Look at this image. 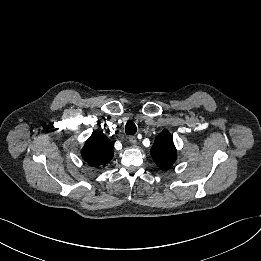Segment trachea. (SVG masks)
I'll use <instances>...</instances> for the list:
<instances>
[{"label":"trachea","mask_w":261,"mask_h":261,"mask_svg":"<svg viewBox=\"0 0 261 261\" xmlns=\"http://www.w3.org/2000/svg\"><path fill=\"white\" fill-rule=\"evenodd\" d=\"M125 132L127 135H134L137 132V127L133 121H128L125 125Z\"/></svg>","instance_id":"trachea-1"}]
</instances>
